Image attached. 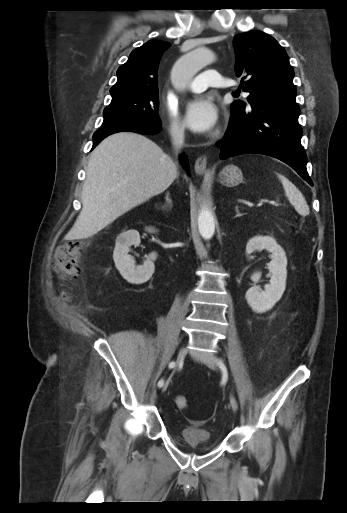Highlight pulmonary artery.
I'll list each match as a JSON object with an SVG mask.
<instances>
[{
	"instance_id": "pulmonary-artery-1",
	"label": "pulmonary artery",
	"mask_w": 347,
	"mask_h": 513,
	"mask_svg": "<svg viewBox=\"0 0 347 513\" xmlns=\"http://www.w3.org/2000/svg\"><path fill=\"white\" fill-rule=\"evenodd\" d=\"M230 87V82L225 79L217 70L208 69L198 74L190 83L189 89L199 93L208 87Z\"/></svg>"
}]
</instances>
